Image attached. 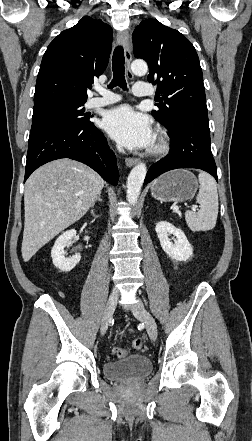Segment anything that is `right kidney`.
Returning a JSON list of instances; mask_svg holds the SVG:
<instances>
[{
  "instance_id": "right-kidney-1",
  "label": "right kidney",
  "mask_w": 252,
  "mask_h": 441,
  "mask_svg": "<svg viewBox=\"0 0 252 441\" xmlns=\"http://www.w3.org/2000/svg\"><path fill=\"white\" fill-rule=\"evenodd\" d=\"M76 236L75 230H68L61 234L51 250V257L53 264L56 268H58L62 272L71 271L80 261L81 255L75 254L70 258H66L65 248L68 243Z\"/></svg>"
}]
</instances>
